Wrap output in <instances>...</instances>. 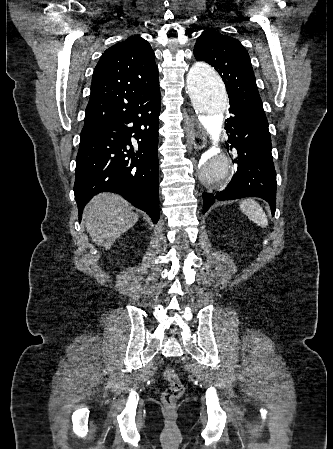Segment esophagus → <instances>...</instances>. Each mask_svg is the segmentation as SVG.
I'll return each instance as SVG.
<instances>
[{"label": "esophagus", "mask_w": 333, "mask_h": 449, "mask_svg": "<svg viewBox=\"0 0 333 449\" xmlns=\"http://www.w3.org/2000/svg\"><path fill=\"white\" fill-rule=\"evenodd\" d=\"M188 136L189 140L192 143V145L197 148L201 149L204 148L206 145V136L205 133L201 127L200 122L195 116H191L189 118L188 122Z\"/></svg>", "instance_id": "1"}]
</instances>
